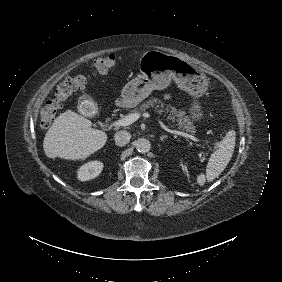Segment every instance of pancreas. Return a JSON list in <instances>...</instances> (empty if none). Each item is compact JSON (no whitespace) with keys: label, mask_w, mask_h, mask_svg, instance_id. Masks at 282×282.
Instances as JSON below:
<instances>
[{"label":"pancreas","mask_w":282,"mask_h":282,"mask_svg":"<svg viewBox=\"0 0 282 282\" xmlns=\"http://www.w3.org/2000/svg\"><path fill=\"white\" fill-rule=\"evenodd\" d=\"M160 103V105H157L155 108H160L159 112L161 113V109L165 108L166 114H168V117L166 118V122L169 124H174L175 128L178 130H186L189 132L191 135L195 136L196 130H195V125H194V120L191 119L189 115H185L186 111L181 110L177 111L175 108H172L171 111H168V106L164 107L163 103L160 101H157L156 98H152L148 100L147 102L143 103L140 105L138 108L134 109L133 111H130V114L141 111L144 112L147 108H149L153 104ZM165 114V115H166Z\"/></svg>","instance_id":"cf45deb5"}]
</instances>
